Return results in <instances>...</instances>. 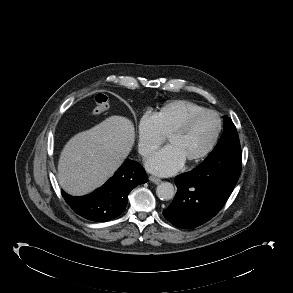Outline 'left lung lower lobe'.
I'll use <instances>...</instances> for the list:
<instances>
[{"mask_svg":"<svg viewBox=\"0 0 293 293\" xmlns=\"http://www.w3.org/2000/svg\"><path fill=\"white\" fill-rule=\"evenodd\" d=\"M242 153L235 148L213 164L198 167L175 178L174 200L163 211L174 226L195 228L214 217L233 191L241 172Z\"/></svg>","mask_w":293,"mask_h":293,"instance_id":"obj_1","label":"left lung lower lobe"}]
</instances>
